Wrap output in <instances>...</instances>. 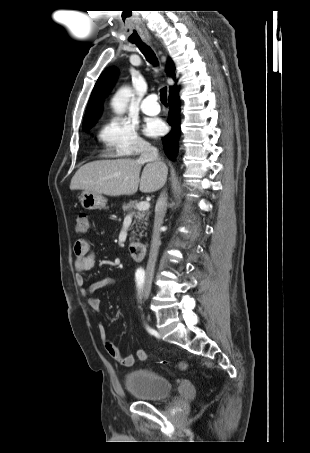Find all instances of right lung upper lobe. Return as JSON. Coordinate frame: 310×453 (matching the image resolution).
I'll return each mask as SVG.
<instances>
[{
    "label": "right lung upper lobe",
    "mask_w": 310,
    "mask_h": 453,
    "mask_svg": "<svg viewBox=\"0 0 310 453\" xmlns=\"http://www.w3.org/2000/svg\"><path fill=\"white\" fill-rule=\"evenodd\" d=\"M166 71L170 76H174V65L169 61ZM118 70L116 67L107 68L98 78L89 99L83 126L93 125L99 118L102 110V103L113 85Z\"/></svg>",
    "instance_id": "cb5924a9"
}]
</instances>
